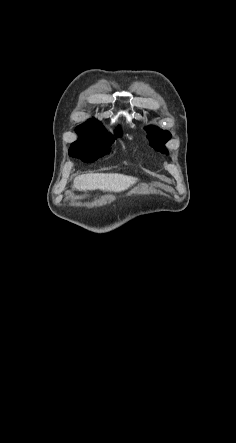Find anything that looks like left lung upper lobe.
<instances>
[{
	"label": "left lung upper lobe",
	"mask_w": 236,
	"mask_h": 443,
	"mask_svg": "<svg viewBox=\"0 0 236 443\" xmlns=\"http://www.w3.org/2000/svg\"><path fill=\"white\" fill-rule=\"evenodd\" d=\"M145 130L147 131L152 146L162 153H167L164 144L171 138V134L168 131H163L151 126L146 127Z\"/></svg>",
	"instance_id": "obj_1"
}]
</instances>
